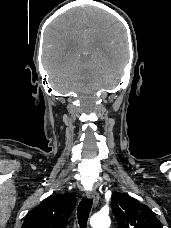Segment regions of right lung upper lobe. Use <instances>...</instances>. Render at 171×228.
<instances>
[{
    "label": "right lung upper lobe",
    "mask_w": 171,
    "mask_h": 228,
    "mask_svg": "<svg viewBox=\"0 0 171 228\" xmlns=\"http://www.w3.org/2000/svg\"><path fill=\"white\" fill-rule=\"evenodd\" d=\"M75 204L71 193L51 195L27 214L21 228H65Z\"/></svg>",
    "instance_id": "cb5924a9"
}]
</instances>
